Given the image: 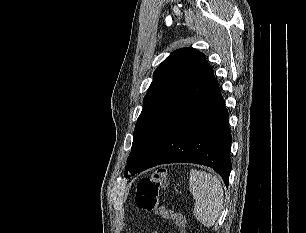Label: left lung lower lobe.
<instances>
[{
	"mask_svg": "<svg viewBox=\"0 0 306 233\" xmlns=\"http://www.w3.org/2000/svg\"><path fill=\"white\" fill-rule=\"evenodd\" d=\"M228 121L216 82L166 133L137 172L159 164L197 163L213 168L228 186L232 142Z\"/></svg>",
	"mask_w": 306,
	"mask_h": 233,
	"instance_id": "left-lung-lower-lobe-1",
	"label": "left lung lower lobe"
}]
</instances>
